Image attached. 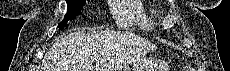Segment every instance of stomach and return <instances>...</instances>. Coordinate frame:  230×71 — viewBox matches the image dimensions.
I'll return each mask as SVG.
<instances>
[{
    "mask_svg": "<svg viewBox=\"0 0 230 71\" xmlns=\"http://www.w3.org/2000/svg\"><path fill=\"white\" fill-rule=\"evenodd\" d=\"M160 66H155L149 61H142L139 62L137 65H134L133 67H127L124 69V71H160L157 69H162L163 63H159Z\"/></svg>",
    "mask_w": 230,
    "mask_h": 71,
    "instance_id": "stomach-1",
    "label": "stomach"
}]
</instances>
